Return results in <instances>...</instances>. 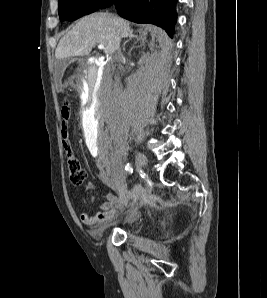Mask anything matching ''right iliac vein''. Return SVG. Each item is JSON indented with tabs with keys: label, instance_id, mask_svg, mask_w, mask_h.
Listing matches in <instances>:
<instances>
[{
	"label": "right iliac vein",
	"instance_id": "right-iliac-vein-1",
	"mask_svg": "<svg viewBox=\"0 0 267 298\" xmlns=\"http://www.w3.org/2000/svg\"><path fill=\"white\" fill-rule=\"evenodd\" d=\"M138 168L144 169L147 165V158L143 153L138 152L137 155Z\"/></svg>",
	"mask_w": 267,
	"mask_h": 298
}]
</instances>
